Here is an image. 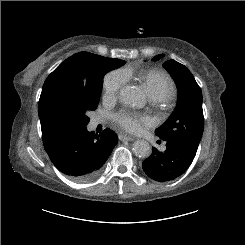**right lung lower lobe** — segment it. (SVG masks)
<instances>
[{
	"label": "right lung lower lobe",
	"instance_id": "obj_1",
	"mask_svg": "<svg viewBox=\"0 0 245 245\" xmlns=\"http://www.w3.org/2000/svg\"><path fill=\"white\" fill-rule=\"evenodd\" d=\"M117 142V135L109 129L98 136L84 128L62 136L45 150L71 179L88 181L99 173Z\"/></svg>",
	"mask_w": 245,
	"mask_h": 245
}]
</instances>
